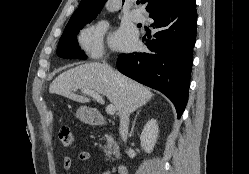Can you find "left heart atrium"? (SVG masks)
<instances>
[{"instance_id": "39dd6f15", "label": "left heart atrium", "mask_w": 249, "mask_h": 174, "mask_svg": "<svg viewBox=\"0 0 249 174\" xmlns=\"http://www.w3.org/2000/svg\"><path fill=\"white\" fill-rule=\"evenodd\" d=\"M113 45L121 48H130L133 46L134 39L127 32H120L112 39Z\"/></svg>"}]
</instances>
